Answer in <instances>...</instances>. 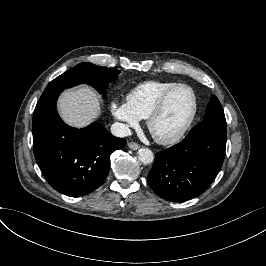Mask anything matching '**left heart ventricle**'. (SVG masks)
I'll list each match as a JSON object with an SVG mask.
<instances>
[{
	"label": "left heart ventricle",
	"instance_id": "obj_1",
	"mask_svg": "<svg viewBox=\"0 0 266 266\" xmlns=\"http://www.w3.org/2000/svg\"><path fill=\"white\" fill-rule=\"evenodd\" d=\"M194 109V98L187 87L177 88L167 100L163 111L152 123L153 132L162 137L177 134L188 122Z\"/></svg>",
	"mask_w": 266,
	"mask_h": 266
}]
</instances>
